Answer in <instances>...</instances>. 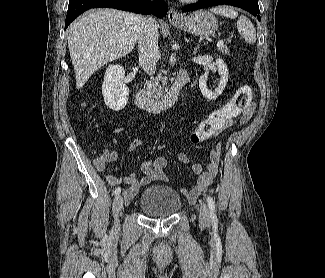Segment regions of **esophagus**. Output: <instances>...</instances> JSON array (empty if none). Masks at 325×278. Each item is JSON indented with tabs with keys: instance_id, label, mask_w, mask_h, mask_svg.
<instances>
[{
	"instance_id": "obj_1",
	"label": "esophagus",
	"mask_w": 325,
	"mask_h": 278,
	"mask_svg": "<svg viewBox=\"0 0 325 278\" xmlns=\"http://www.w3.org/2000/svg\"><path fill=\"white\" fill-rule=\"evenodd\" d=\"M181 18H182V16L174 8H170V10L168 12L169 21H178Z\"/></svg>"
}]
</instances>
